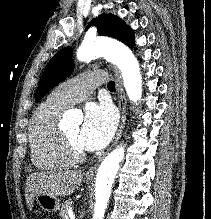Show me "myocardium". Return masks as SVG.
<instances>
[{
  "mask_svg": "<svg viewBox=\"0 0 211 219\" xmlns=\"http://www.w3.org/2000/svg\"><path fill=\"white\" fill-rule=\"evenodd\" d=\"M60 138L64 152L70 159L73 161H82L86 158L85 151L78 147L65 131H60Z\"/></svg>",
  "mask_w": 211,
  "mask_h": 219,
  "instance_id": "obj_1",
  "label": "myocardium"
}]
</instances>
